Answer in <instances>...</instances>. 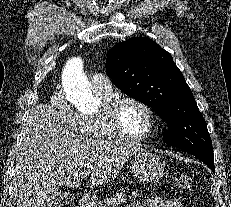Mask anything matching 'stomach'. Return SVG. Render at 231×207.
I'll return each instance as SVG.
<instances>
[{
  "label": "stomach",
  "mask_w": 231,
  "mask_h": 207,
  "mask_svg": "<svg viewBox=\"0 0 231 207\" xmlns=\"http://www.w3.org/2000/svg\"><path fill=\"white\" fill-rule=\"evenodd\" d=\"M130 169L139 183L150 184L164 175L165 164L157 154L142 149L131 155Z\"/></svg>",
  "instance_id": "0dacf381"
}]
</instances>
